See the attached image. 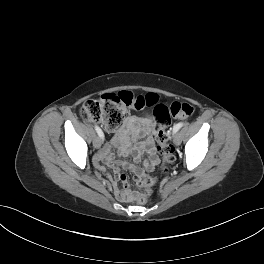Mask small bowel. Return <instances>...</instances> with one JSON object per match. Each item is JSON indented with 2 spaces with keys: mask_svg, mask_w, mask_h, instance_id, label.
I'll return each instance as SVG.
<instances>
[{
  "mask_svg": "<svg viewBox=\"0 0 264 264\" xmlns=\"http://www.w3.org/2000/svg\"><path fill=\"white\" fill-rule=\"evenodd\" d=\"M154 131L155 121L151 115L130 116L125 120L124 127L116 133L110 144L104 147L95 158V163L99 169H103V163L112 168L115 175L112 182L113 191L116 197L123 201L132 200L133 192L127 182L126 175L121 172V168L141 176L145 171L153 170L158 164ZM132 140L135 142L132 143ZM113 146H118L123 156L132 153L136 163L140 161L142 152L148 154V159L144 162L143 168L125 161L116 162L112 153ZM118 181L121 182L122 186L118 184Z\"/></svg>",
  "mask_w": 264,
  "mask_h": 264,
  "instance_id": "1",
  "label": "small bowel"
}]
</instances>
